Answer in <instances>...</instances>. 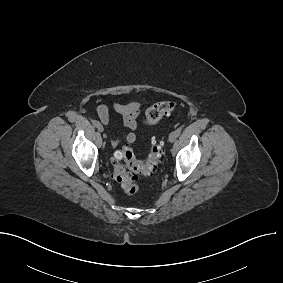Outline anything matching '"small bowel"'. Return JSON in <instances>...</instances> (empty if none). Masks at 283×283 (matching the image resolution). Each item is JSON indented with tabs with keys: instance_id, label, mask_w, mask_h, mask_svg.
Here are the masks:
<instances>
[{
	"instance_id": "small-bowel-1",
	"label": "small bowel",
	"mask_w": 283,
	"mask_h": 283,
	"mask_svg": "<svg viewBox=\"0 0 283 283\" xmlns=\"http://www.w3.org/2000/svg\"><path fill=\"white\" fill-rule=\"evenodd\" d=\"M112 109L122 117V121L131 132L127 133L124 136V140L127 143H133L136 140L135 131L138 128L137 118L141 112V103L138 101L130 102V103H120L113 102ZM97 114L99 119L103 124H108L110 122V110L106 105H100L97 108ZM121 142L120 139L114 138L111 141L113 147H117Z\"/></svg>"
}]
</instances>
